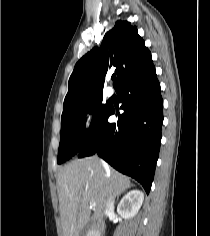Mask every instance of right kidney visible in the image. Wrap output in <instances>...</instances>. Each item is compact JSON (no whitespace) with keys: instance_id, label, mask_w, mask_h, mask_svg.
Here are the masks:
<instances>
[{"instance_id":"obj_1","label":"right kidney","mask_w":210,"mask_h":236,"mask_svg":"<svg viewBox=\"0 0 210 236\" xmlns=\"http://www.w3.org/2000/svg\"><path fill=\"white\" fill-rule=\"evenodd\" d=\"M144 200L142 191L135 189L128 192L120 201L117 206V212L125 219L134 217Z\"/></svg>"}]
</instances>
